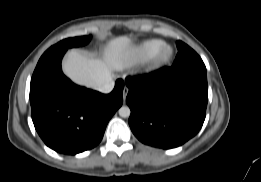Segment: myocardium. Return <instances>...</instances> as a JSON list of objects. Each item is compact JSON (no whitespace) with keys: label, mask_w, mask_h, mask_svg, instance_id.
Instances as JSON below:
<instances>
[{"label":"myocardium","mask_w":261,"mask_h":182,"mask_svg":"<svg viewBox=\"0 0 261 182\" xmlns=\"http://www.w3.org/2000/svg\"><path fill=\"white\" fill-rule=\"evenodd\" d=\"M173 55V49L169 45L163 46L150 60V68L158 69L167 64Z\"/></svg>","instance_id":"f54148a6"}]
</instances>
